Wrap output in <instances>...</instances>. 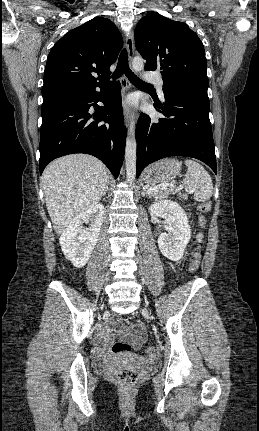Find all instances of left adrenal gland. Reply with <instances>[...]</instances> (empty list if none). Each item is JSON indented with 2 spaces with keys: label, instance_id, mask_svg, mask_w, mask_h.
I'll use <instances>...</instances> for the list:
<instances>
[{
  "label": "left adrenal gland",
  "instance_id": "left-adrenal-gland-1",
  "mask_svg": "<svg viewBox=\"0 0 259 431\" xmlns=\"http://www.w3.org/2000/svg\"><path fill=\"white\" fill-rule=\"evenodd\" d=\"M142 196H148L149 198L152 197V195L147 192V190L144 186L142 187Z\"/></svg>",
  "mask_w": 259,
  "mask_h": 431
}]
</instances>
